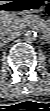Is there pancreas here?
Wrapping results in <instances>:
<instances>
[{
    "instance_id": "obj_1",
    "label": "pancreas",
    "mask_w": 50,
    "mask_h": 111,
    "mask_svg": "<svg viewBox=\"0 0 50 111\" xmlns=\"http://www.w3.org/2000/svg\"><path fill=\"white\" fill-rule=\"evenodd\" d=\"M33 19H34V16L32 15H26L23 17L14 16V17L5 19L3 21V25L6 28L18 30L23 28L27 23L32 22ZM37 23L40 25L42 21L38 20Z\"/></svg>"
}]
</instances>
